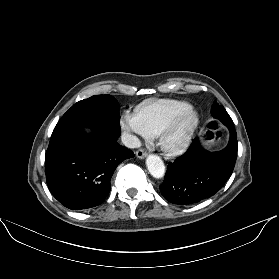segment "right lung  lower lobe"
<instances>
[{
    "mask_svg": "<svg viewBox=\"0 0 279 279\" xmlns=\"http://www.w3.org/2000/svg\"><path fill=\"white\" fill-rule=\"evenodd\" d=\"M120 118L105 115L92 122L53 133L45 155L49 190L65 207L82 210L101 204L110 192L117 166L134 157L119 145ZM92 136H83L84 126Z\"/></svg>",
    "mask_w": 279,
    "mask_h": 279,
    "instance_id": "right-lung-lower-lobe-1",
    "label": "right lung lower lobe"
}]
</instances>
